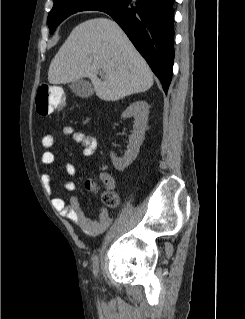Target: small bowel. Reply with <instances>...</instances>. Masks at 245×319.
<instances>
[{
    "instance_id": "small-bowel-1",
    "label": "small bowel",
    "mask_w": 245,
    "mask_h": 319,
    "mask_svg": "<svg viewBox=\"0 0 245 319\" xmlns=\"http://www.w3.org/2000/svg\"><path fill=\"white\" fill-rule=\"evenodd\" d=\"M61 134L69 136L76 142L81 143L83 145V155L86 157L92 156L97 148L98 142L94 135L75 131L72 126L63 127ZM55 135V132H50L45 134L42 138L41 144L44 151L41 156V162L45 166L53 164L55 160V154L52 151L55 142ZM64 168L68 176L75 177L77 175V168L73 163L67 162ZM102 179L105 188L108 191L114 190L115 183L111 176L104 174ZM43 183L47 192L52 194L53 188L49 174L43 175ZM63 186L68 192L71 193H73L77 188L76 183L71 179L65 180ZM52 204L54 208L61 214V216L70 220L87 235L96 236L102 233L112 222V217L105 208L101 209L97 218L88 216L80 206L79 201L74 194H71L67 201L61 197H54L52 199Z\"/></svg>"
}]
</instances>
